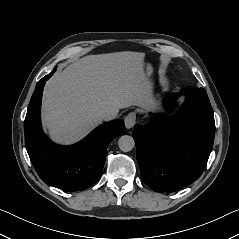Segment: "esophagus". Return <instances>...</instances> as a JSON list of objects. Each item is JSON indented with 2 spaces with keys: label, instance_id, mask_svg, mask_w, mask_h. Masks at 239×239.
Masks as SVG:
<instances>
[{
  "label": "esophagus",
  "instance_id": "1",
  "mask_svg": "<svg viewBox=\"0 0 239 239\" xmlns=\"http://www.w3.org/2000/svg\"><path fill=\"white\" fill-rule=\"evenodd\" d=\"M125 127L127 129L132 128L135 125L136 122V114L134 112H130L126 117H125Z\"/></svg>",
  "mask_w": 239,
  "mask_h": 239
}]
</instances>
